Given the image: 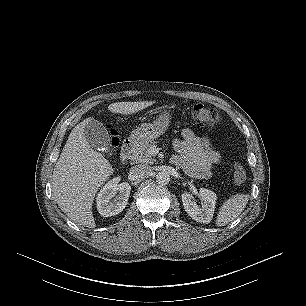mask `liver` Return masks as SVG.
Here are the masks:
<instances>
[{"label": "liver", "instance_id": "1", "mask_svg": "<svg viewBox=\"0 0 306 306\" xmlns=\"http://www.w3.org/2000/svg\"><path fill=\"white\" fill-rule=\"evenodd\" d=\"M155 102H116L108 106L114 114H133ZM93 120L86 118L71 131L52 176V192L60 209L75 223L95 228L92 205L98 189L114 170L104 156L93 150L84 128Z\"/></svg>", "mask_w": 306, "mask_h": 306}]
</instances>
